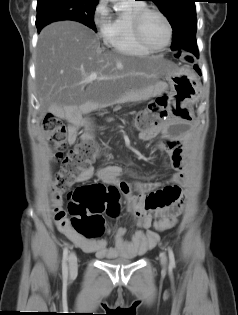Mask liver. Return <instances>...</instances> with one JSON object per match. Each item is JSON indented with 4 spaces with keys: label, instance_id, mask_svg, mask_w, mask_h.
I'll use <instances>...</instances> for the list:
<instances>
[{
    "label": "liver",
    "instance_id": "liver-1",
    "mask_svg": "<svg viewBox=\"0 0 238 315\" xmlns=\"http://www.w3.org/2000/svg\"><path fill=\"white\" fill-rule=\"evenodd\" d=\"M167 70L168 64L157 56L136 58L106 50L81 23H51L40 32L36 52L40 119L48 112L65 117L88 102L118 101L143 90ZM93 72L98 79L86 83Z\"/></svg>",
    "mask_w": 238,
    "mask_h": 315
}]
</instances>
